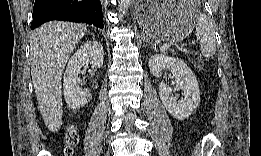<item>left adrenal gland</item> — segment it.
<instances>
[{
  "label": "left adrenal gland",
  "mask_w": 261,
  "mask_h": 156,
  "mask_svg": "<svg viewBox=\"0 0 261 156\" xmlns=\"http://www.w3.org/2000/svg\"><path fill=\"white\" fill-rule=\"evenodd\" d=\"M140 41H141V42H142V41L149 42L148 39H147V37H146L145 35H143V36L141 37V40H140Z\"/></svg>",
  "instance_id": "1"
}]
</instances>
